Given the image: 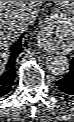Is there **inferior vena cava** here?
Here are the masks:
<instances>
[{
	"label": "inferior vena cava",
	"instance_id": "inferior-vena-cava-1",
	"mask_svg": "<svg viewBox=\"0 0 74 122\" xmlns=\"http://www.w3.org/2000/svg\"><path fill=\"white\" fill-rule=\"evenodd\" d=\"M37 9H34V11H32L31 15L26 16L25 18H23L20 28L21 29H28L29 25L33 22V19H35L36 15H37Z\"/></svg>",
	"mask_w": 74,
	"mask_h": 122
}]
</instances>
